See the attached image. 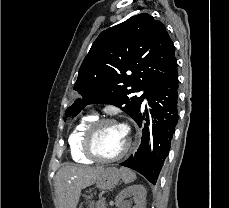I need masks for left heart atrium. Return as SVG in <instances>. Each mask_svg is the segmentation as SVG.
Masks as SVG:
<instances>
[{"label":"left heart atrium","instance_id":"obj_1","mask_svg":"<svg viewBox=\"0 0 229 208\" xmlns=\"http://www.w3.org/2000/svg\"><path fill=\"white\" fill-rule=\"evenodd\" d=\"M122 128V130L126 133V129L124 128V127H121Z\"/></svg>","mask_w":229,"mask_h":208}]
</instances>
